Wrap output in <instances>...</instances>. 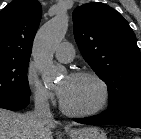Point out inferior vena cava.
<instances>
[{"instance_id":"1","label":"inferior vena cava","mask_w":141,"mask_h":139,"mask_svg":"<svg viewBox=\"0 0 141 139\" xmlns=\"http://www.w3.org/2000/svg\"><path fill=\"white\" fill-rule=\"evenodd\" d=\"M33 115L39 124H44L53 120L47 97L44 94L35 95V109Z\"/></svg>"}]
</instances>
